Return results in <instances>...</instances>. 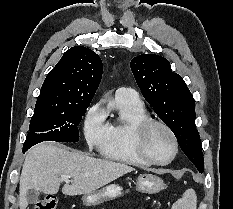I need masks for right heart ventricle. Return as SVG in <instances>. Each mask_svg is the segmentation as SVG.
<instances>
[{"mask_svg": "<svg viewBox=\"0 0 233 209\" xmlns=\"http://www.w3.org/2000/svg\"><path fill=\"white\" fill-rule=\"evenodd\" d=\"M110 109L118 113V118L107 124V138L99 148L101 154L113 161L148 166L149 163L138 155L134 145V128L139 121L148 117L143 103L116 94L110 102Z\"/></svg>", "mask_w": 233, "mask_h": 209, "instance_id": "e07e8e85", "label": "right heart ventricle"}]
</instances>
